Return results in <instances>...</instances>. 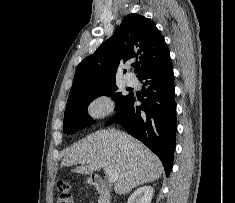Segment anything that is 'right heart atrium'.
<instances>
[{"instance_id":"right-heart-atrium-1","label":"right heart atrium","mask_w":235,"mask_h":203,"mask_svg":"<svg viewBox=\"0 0 235 203\" xmlns=\"http://www.w3.org/2000/svg\"><path fill=\"white\" fill-rule=\"evenodd\" d=\"M113 109L110 98L106 95L95 97L88 105V113L93 118H101L109 114Z\"/></svg>"}]
</instances>
